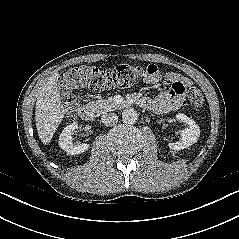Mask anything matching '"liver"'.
I'll return each instance as SVG.
<instances>
[{
  "instance_id": "6515ba94",
  "label": "liver",
  "mask_w": 239,
  "mask_h": 239,
  "mask_svg": "<svg viewBox=\"0 0 239 239\" xmlns=\"http://www.w3.org/2000/svg\"><path fill=\"white\" fill-rule=\"evenodd\" d=\"M58 72H54L39 91L35 107V122L38 136L43 144H49L65 116L57 87Z\"/></svg>"
}]
</instances>
